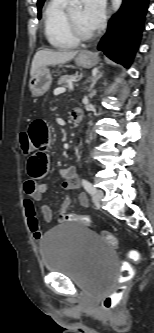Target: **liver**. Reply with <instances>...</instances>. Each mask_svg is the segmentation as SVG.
Masks as SVG:
<instances>
[{"instance_id": "1", "label": "liver", "mask_w": 154, "mask_h": 333, "mask_svg": "<svg viewBox=\"0 0 154 333\" xmlns=\"http://www.w3.org/2000/svg\"><path fill=\"white\" fill-rule=\"evenodd\" d=\"M77 54L78 51L40 50L33 58L30 75L33 76L36 70L40 67L66 63L73 59Z\"/></svg>"}]
</instances>
